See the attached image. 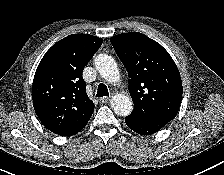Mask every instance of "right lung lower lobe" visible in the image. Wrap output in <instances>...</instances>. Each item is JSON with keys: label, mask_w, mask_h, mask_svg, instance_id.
I'll return each mask as SVG.
<instances>
[{"label": "right lung lower lobe", "mask_w": 224, "mask_h": 175, "mask_svg": "<svg viewBox=\"0 0 224 175\" xmlns=\"http://www.w3.org/2000/svg\"><path fill=\"white\" fill-rule=\"evenodd\" d=\"M87 122H85L84 124H81V125L73 128V129H71V130H69V131H67V132H65L63 134H60V135L61 136H71V135H74V134L78 133L80 130H82L85 127V125L87 124Z\"/></svg>", "instance_id": "obj_1"}]
</instances>
